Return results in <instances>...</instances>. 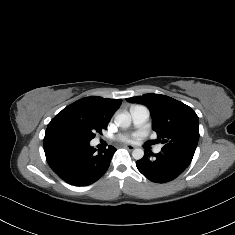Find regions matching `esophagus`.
Here are the masks:
<instances>
[{
  "mask_svg": "<svg viewBox=\"0 0 235 235\" xmlns=\"http://www.w3.org/2000/svg\"><path fill=\"white\" fill-rule=\"evenodd\" d=\"M123 147L126 148V149H128L129 151H132V150L135 149V146L130 145V144H125V145H123Z\"/></svg>",
  "mask_w": 235,
  "mask_h": 235,
  "instance_id": "esophagus-1",
  "label": "esophagus"
}]
</instances>
